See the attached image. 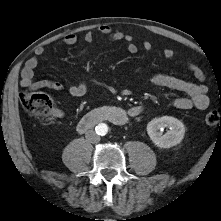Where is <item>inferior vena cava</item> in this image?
Masks as SVG:
<instances>
[{
    "mask_svg": "<svg viewBox=\"0 0 221 221\" xmlns=\"http://www.w3.org/2000/svg\"><path fill=\"white\" fill-rule=\"evenodd\" d=\"M85 137L90 143H98L100 141V136L94 130L87 131Z\"/></svg>",
    "mask_w": 221,
    "mask_h": 221,
    "instance_id": "602c4592",
    "label": "inferior vena cava"
}]
</instances>
